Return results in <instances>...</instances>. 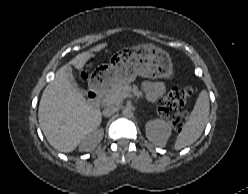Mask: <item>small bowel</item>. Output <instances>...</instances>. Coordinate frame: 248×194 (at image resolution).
Here are the masks:
<instances>
[{
	"mask_svg": "<svg viewBox=\"0 0 248 194\" xmlns=\"http://www.w3.org/2000/svg\"><path fill=\"white\" fill-rule=\"evenodd\" d=\"M144 92L151 101H157L165 93V86L161 82H145L143 84Z\"/></svg>",
	"mask_w": 248,
	"mask_h": 194,
	"instance_id": "c3829d8e",
	"label": "small bowel"
}]
</instances>
